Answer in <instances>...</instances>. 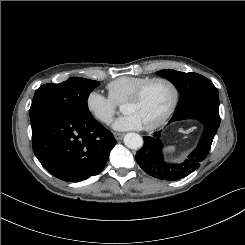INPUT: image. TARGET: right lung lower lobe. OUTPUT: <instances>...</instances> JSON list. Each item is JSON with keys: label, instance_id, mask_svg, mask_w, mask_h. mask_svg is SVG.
Listing matches in <instances>:
<instances>
[{"label": "right lung lower lobe", "instance_id": "right-lung-lower-lobe-1", "mask_svg": "<svg viewBox=\"0 0 245 245\" xmlns=\"http://www.w3.org/2000/svg\"><path fill=\"white\" fill-rule=\"evenodd\" d=\"M32 147L42 166L58 179L79 182L103 170L116 140L92 116L45 113L31 121Z\"/></svg>", "mask_w": 245, "mask_h": 245}]
</instances>
